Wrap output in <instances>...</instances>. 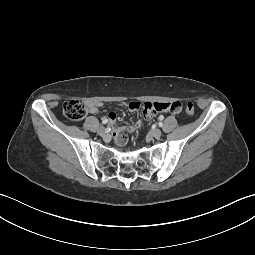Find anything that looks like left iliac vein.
<instances>
[{
    "instance_id": "4c4485c4",
    "label": "left iliac vein",
    "mask_w": 255,
    "mask_h": 255,
    "mask_svg": "<svg viewBox=\"0 0 255 255\" xmlns=\"http://www.w3.org/2000/svg\"><path fill=\"white\" fill-rule=\"evenodd\" d=\"M161 135H162L161 130H159V129H154V130H152V136H153V137H155V138H160Z\"/></svg>"
}]
</instances>
